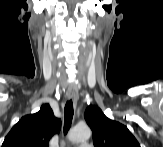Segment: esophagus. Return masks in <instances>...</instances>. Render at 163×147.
Here are the masks:
<instances>
[{
    "label": "esophagus",
    "instance_id": "obj_1",
    "mask_svg": "<svg viewBox=\"0 0 163 147\" xmlns=\"http://www.w3.org/2000/svg\"><path fill=\"white\" fill-rule=\"evenodd\" d=\"M67 96L70 100L73 101L74 105L76 106V103L78 101V92L75 86H69Z\"/></svg>",
    "mask_w": 163,
    "mask_h": 147
}]
</instances>
